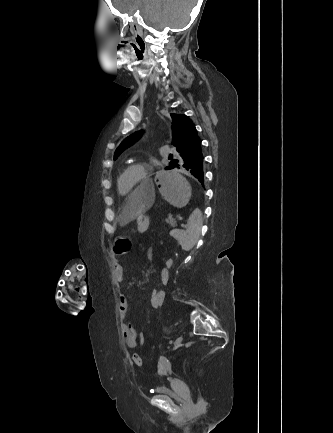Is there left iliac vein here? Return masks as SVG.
<instances>
[{
	"mask_svg": "<svg viewBox=\"0 0 333 433\" xmlns=\"http://www.w3.org/2000/svg\"><path fill=\"white\" fill-rule=\"evenodd\" d=\"M182 340H183L182 336L177 337L176 340H175V342H174V348L179 347L180 344H181V342H182Z\"/></svg>",
	"mask_w": 333,
	"mask_h": 433,
	"instance_id": "obj_1",
	"label": "left iliac vein"
}]
</instances>
